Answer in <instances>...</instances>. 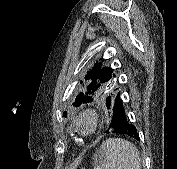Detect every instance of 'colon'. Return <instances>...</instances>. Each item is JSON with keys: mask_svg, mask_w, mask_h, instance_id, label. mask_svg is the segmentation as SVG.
<instances>
[{"mask_svg": "<svg viewBox=\"0 0 177 169\" xmlns=\"http://www.w3.org/2000/svg\"><path fill=\"white\" fill-rule=\"evenodd\" d=\"M74 169H86V168H83V167H76Z\"/></svg>", "mask_w": 177, "mask_h": 169, "instance_id": "colon-1", "label": "colon"}]
</instances>
